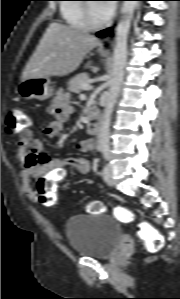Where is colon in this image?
I'll list each match as a JSON object with an SVG mask.
<instances>
[{
	"mask_svg": "<svg viewBox=\"0 0 180 299\" xmlns=\"http://www.w3.org/2000/svg\"><path fill=\"white\" fill-rule=\"evenodd\" d=\"M29 115L20 108L10 109L7 113L5 122V132L8 135L15 136L29 126ZM38 200L44 206H53L57 202V184L56 182L42 183L38 189ZM86 210L91 214H100L104 211L102 203L93 201L86 205ZM116 217L124 223L134 221L132 211L123 207L115 209ZM138 236L145 242L147 249L150 252H159L164 245L163 235L148 221H141L136 225Z\"/></svg>",
	"mask_w": 180,
	"mask_h": 299,
	"instance_id": "obj_1",
	"label": "colon"
}]
</instances>
